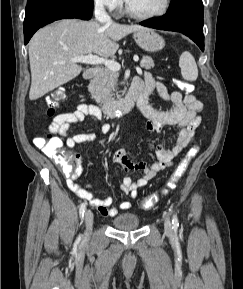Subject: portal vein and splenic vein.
I'll use <instances>...</instances> for the list:
<instances>
[{"label":"portal vein and splenic vein","mask_w":243,"mask_h":289,"mask_svg":"<svg viewBox=\"0 0 243 289\" xmlns=\"http://www.w3.org/2000/svg\"><path fill=\"white\" fill-rule=\"evenodd\" d=\"M134 61H138L139 58L138 56L133 57ZM70 61L75 62V63H86V64H91V65H105L107 68L113 70V71H119L121 68V65L110 59L106 58H101L96 55H92L91 53L85 56H75L70 59Z\"/></svg>","instance_id":"obj_1"}]
</instances>
